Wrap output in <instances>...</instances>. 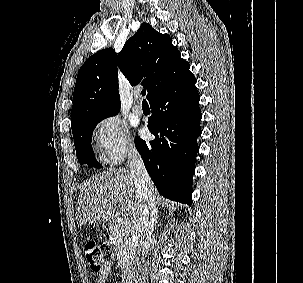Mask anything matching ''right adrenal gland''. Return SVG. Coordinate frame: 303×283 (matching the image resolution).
I'll use <instances>...</instances> for the list:
<instances>
[{
  "label": "right adrenal gland",
  "mask_w": 303,
  "mask_h": 283,
  "mask_svg": "<svg viewBox=\"0 0 303 283\" xmlns=\"http://www.w3.org/2000/svg\"><path fill=\"white\" fill-rule=\"evenodd\" d=\"M157 219H158V214L156 213V216H155V219H154L155 223H157Z\"/></svg>",
  "instance_id": "2a0ac1e0"
}]
</instances>
